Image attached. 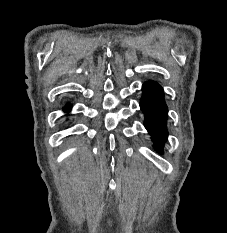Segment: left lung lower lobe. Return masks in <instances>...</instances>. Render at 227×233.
Listing matches in <instances>:
<instances>
[{
	"instance_id": "obj_1",
	"label": "left lung lower lobe",
	"mask_w": 227,
	"mask_h": 233,
	"mask_svg": "<svg viewBox=\"0 0 227 233\" xmlns=\"http://www.w3.org/2000/svg\"><path fill=\"white\" fill-rule=\"evenodd\" d=\"M142 91L140 108L145 115L144 125L155 142V149L162 153L163 143L168 136L166 128L168 109L164 101L163 89L158 83L149 81L144 83Z\"/></svg>"
}]
</instances>
